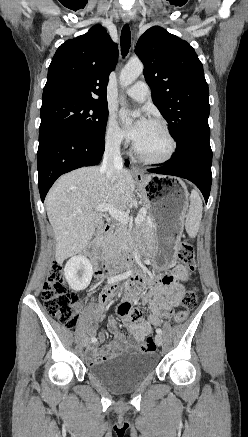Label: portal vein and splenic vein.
I'll list each match as a JSON object with an SVG mask.
<instances>
[{"label":"portal vein and splenic vein","instance_id":"obj_1","mask_svg":"<svg viewBox=\"0 0 248 437\" xmlns=\"http://www.w3.org/2000/svg\"><path fill=\"white\" fill-rule=\"evenodd\" d=\"M97 212H108L110 216L118 220L121 224L127 225L129 222V215L126 212L118 210L111 205H100L96 208ZM147 209L142 208L135 218V223H140L143 217L146 215Z\"/></svg>","mask_w":248,"mask_h":437}]
</instances>
